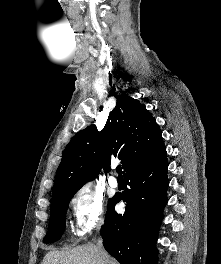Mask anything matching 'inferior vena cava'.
<instances>
[{
	"label": "inferior vena cava",
	"instance_id": "602c4592",
	"mask_svg": "<svg viewBox=\"0 0 221 264\" xmlns=\"http://www.w3.org/2000/svg\"><path fill=\"white\" fill-rule=\"evenodd\" d=\"M97 249H98L99 255L101 257H105V251H104L103 246H102V239L98 240Z\"/></svg>",
	"mask_w": 221,
	"mask_h": 264
}]
</instances>
